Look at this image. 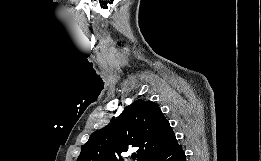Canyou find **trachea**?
<instances>
[{"label": "trachea", "mask_w": 261, "mask_h": 161, "mask_svg": "<svg viewBox=\"0 0 261 161\" xmlns=\"http://www.w3.org/2000/svg\"><path fill=\"white\" fill-rule=\"evenodd\" d=\"M136 157H137V156H136V155H134V156H133V160H135V159H136Z\"/></svg>", "instance_id": "1"}]
</instances>
